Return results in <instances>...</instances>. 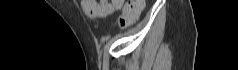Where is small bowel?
I'll return each instance as SVG.
<instances>
[{
  "mask_svg": "<svg viewBox=\"0 0 238 70\" xmlns=\"http://www.w3.org/2000/svg\"><path fill=\"white\" fill-rule=\"evenodd\" d=\"M107 3V2H110L108 0H100V1H95V3H92V4H95V5H100V6H104L103 4L104 3ZM88 3H85L84 1L82 2V8L83 10L85 11L86 7H87ZM107 7V6H106ZM109 8V7H108ZM120 8V7H118Z\"/></svg>",
  "mask_w": 238,
  "mask_h": 70,
  "instance_id": "obj_1",
  "label": "small bowel"
}]
</instances>
